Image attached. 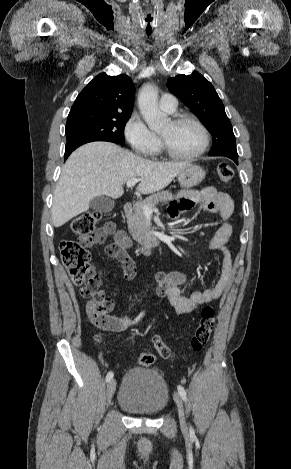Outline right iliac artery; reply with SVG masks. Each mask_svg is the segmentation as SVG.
Returning <instances> with one entry per match:
<instances>
[{
	"mask_svg": "<svg viewBox=\"0 0 291 469\" xmlns=\"http://www.w3.org/2000/svg\"><path fill=\"white\" fill-rule=\"evenodd\" d=\"M144 315V312H141L138 317L135 319V323L138 322ZM113 378V372L110 371L108 372V374L106 375V382H109L111 379Z\"/></svg>",
	"mask_w": 291,
	"mask_h": 469,
	"instance_id": "obj_1",
	"label": "right iliac artery"
}]
</instances>
